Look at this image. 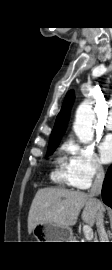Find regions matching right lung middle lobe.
<instances>
[{
  "instance_id": "obj_1",
  "label": "right lung middle lobe",
  "mask_w": 112,
  "mask_h": 270,
  "mask_svg": "<svg viewBox=\"0 0 112 270\" xmlns=\"http://www.w3.org/2000/svg\"><path fill=\"white\" fill-rule=\"evenodd\" d=\"M58 144H59V142L49 143L46 157H48L52 152L55 151V149L57 148Z\"/></svg>"
}]
</instances>
